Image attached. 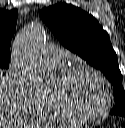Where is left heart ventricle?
Returning a JSON list of instances; mask_svg holds the SVG:
<instances>
[{
  "label": "left heart ventricle",
  "mask_w": 125,
  "mask_h": 128,
  "mask_svg": "<svg viewBox=\"0 0 125 128\" xmlns=\"http://www.w3.org/2000/svg\"><path fill=\"white\" fill-rule=\"evenodd\" d=\"M55 91H61L70 107L83 114H94L100 111L105 103L101 81L88 71L75 74L64 86L57 80L52 89V92Z\"/></svg>",
  "instance_id": "left-heart-ventricle-1"
}]
</instances>
